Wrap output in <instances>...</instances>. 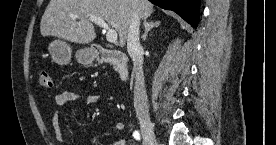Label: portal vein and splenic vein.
<instances>
[{
	"mask_svg": "<svg viewBox=\"0 0 276 145\" xmlns=\"http://www.w3.org/2000/svg\"><path fill=\"white\" fill-rule=\"evenodd\" d=\"M73 18L76 19L77 17L73 16ZM88 20L97 24L98 26L102 27L106 31V39L108 42H110V43L117 42L118 35H117L116 30L110 28L108 26V24L102 18L91 15L88 17Z\"/></svg>",
	"mask_w": 276,
	"mask_h": 145,
	"instance_id": "1",
	"label": "portal vein and splenic vein"
}]
</instances>
